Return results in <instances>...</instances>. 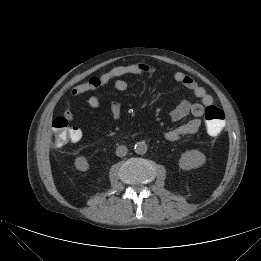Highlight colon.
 I'll list each match as a JSON object with an SVG mask.
<instances>
[{
  "label": "colon",
  "mask_w": 261,
  "mask_h": 261,
  "mask_svg": "<svg viewBox=\"0 0 261 261\" xmlns=\"http://www.w3.org/2000/svg\"><path fill=\"white\" fill-rule=\"evenodd\" d=\"M205 126L210 135H217L221 132L225 114L220 108L209 105L204 110ZM54 132V143L57 147L76 143L81 138V132L76 127L69 126V121L65 117H57L52 123Z\"/></svg>",
  "instance_id": "obj_1"
}]
</instances>
